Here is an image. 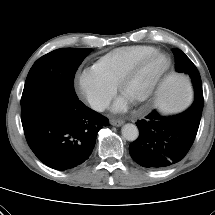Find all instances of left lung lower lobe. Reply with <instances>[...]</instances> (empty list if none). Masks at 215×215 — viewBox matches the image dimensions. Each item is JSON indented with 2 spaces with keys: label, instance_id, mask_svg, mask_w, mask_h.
I'll list each match as a JSON object with an SVG mask.
<instances>
[{
  "label": "left lung lower lobe",
  "instance_id": "obj_1",
  "mask_svg": "<svg viewBox=\"0 0 215 215\" xmlns=\"http://www.w3.org/2000/svg\"><path fill=\"white\" fill-rule=\"evenodd\" d=\"M203 104V94L195 93L193 104L181 114L163 116L153 110L138 120L139 137L129 146L132 159L151 169L165 168L182 160L196 137Z\"/></svg>",
  "mask_w": 215,
  "mask_h": 215
}]
</instances>
